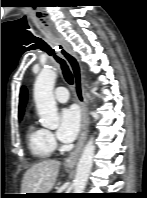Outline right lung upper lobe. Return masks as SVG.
Listing matches in <instances>:
<instances>
[{
    "label": "right lung upper lobe",
    "instance_id": "cb5924a9",
    "mask_svg": "<svg viewBox=\"0 0 147 198\" xmlns=\"http://www.w3.org/2000/svg\"><path fill=\"white\" fill-rule=\"evenodd\" d=\"M26 102H27V90L25 87H22L20 93V103H19V119H21L23 116Z\"/></svg>",
    "mask_w": 147,
    "mask_h": 198
}]
</instances>
